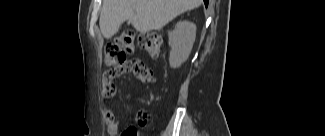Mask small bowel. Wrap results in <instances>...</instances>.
<instances>
[{
	"label": "small bowel",
	"instance_id": "c3829d8e",
	"mask_svg": "<svg viewBox=\"0 0 325 136\" xmlns=\"http://www.w3.org/2000/svg\"><path fill=\"white\" fill-rule=\"evenodd\" d=\"M144 57H134L133 60L125 61L117 68H112L105 71L102 75V91L107 97H111L114 94L113 79L124 74L133 73L140 81L144 83H153L154 77L150 70L145 66ZM104 115L107 122L108 133L112 136L117 135L120 132L121 125L115 120V114L110 107H104ZM139 125H145L148 121V113L145 109L138 111L136 116ZM137 129L134 126H129L125 130ZM124 130V131H125Z\"/></svg>",
	"mask_w": 325,
	"mask_h": 136
}]
</instances>
